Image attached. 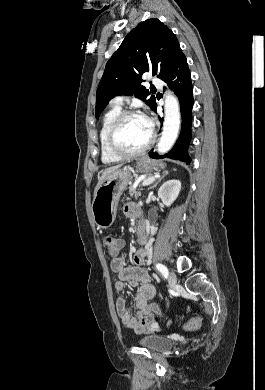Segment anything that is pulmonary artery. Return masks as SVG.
Masks as SVG:
<instances>
[{
    "label": "pulmonary artery",
    "instance_id": "obj_1",
    "mask_svg": "<svg viewBox=\"0 0 265 390\" xmlns=\"http://www.w3.org/2000/svg\"><path fill=\"white\" fill-rule=\"evenodd\" d=\"M152 83L156 87H158V88H162L163 87V82L160 79H158L157 77H155V76L152 77ZM122 103H123V99L122 98H116L114 100V104L115 105H119L120 106Z\"/></svg>",
    "mask_w": 265,
    "mask_h": 390
}]
</instances>
